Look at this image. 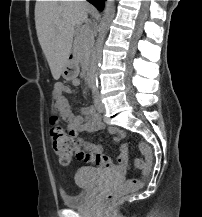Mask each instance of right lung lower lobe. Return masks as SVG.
<instances>
[{"instance_id":"1","label":"right lung lower lobe","mask_w":202,"mask_h":217,"mask_svg":"<svg viewBox=\"0 0 202 217\" xmlns=\"http://www.w3.org/2000/svg\"><path fill=\"white\" fill-rule=\"evenodd\" d=\"M87 1L93 4L98 10H102L105 0H87Z\"/></svg>"}]
</instances>
